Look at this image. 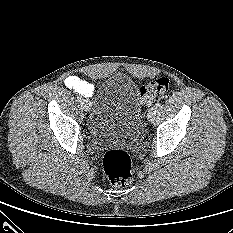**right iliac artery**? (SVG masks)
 Wrapping results in <instances>:
<instances>
[{
    "label": "right iliac artery",
    "instance_id": "1",
    "mask_svg": "<svg viewBox=\"0 0 233 233\" xmlns=\"http://www.w3.org/2000/svg\"><path fill=\"white\" fill-rule=\"evenodd\" d=\"M77 101L81 103L83 101V98L81 96H78Z\"/></svg>",
    "mask_w": 233,
    "mask_h": 233
}]
</instances>
